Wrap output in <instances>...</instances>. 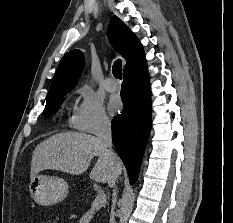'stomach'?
Masks as SVG:
<instances>
[{
    "label": "stomach",
    "mask_w": 233,
    "mask_h": 223,
    "mask_svg": "<svg viewBox=\"0 0 233 223\" xmlns=\"http://www.w3.org/2000/svg\"><path fill=\"white\" fill-rule=\"evenodd\" d=\"M29 193L38 205H55L67 197L69 183L57 175L37 173L30 179Z\"/></svg>",
    "instance_id": "obj_1"
}]
</instances>
